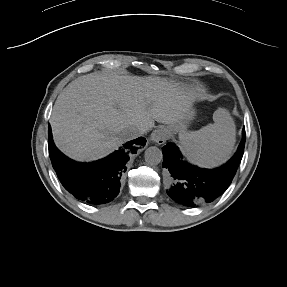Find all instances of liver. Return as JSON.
I'll return each mask as SVG.
<instances>
[{"label":"liver","mask_w":287,"mask_h":287,"mask_svg":"<svg viewBox=\"0 0 287 287\" xmlns=\"http://www.w3.org/2000/svg\"><path fill=\"white\" fill-rule=\"evenodd\" d=\"M195 93L159 78L93 72L78 77L58 95L50 119L56 146L77 161H93L127 141L123 130L155 121L183 120Z\"/></svg>","instance_id":"obj_1"}]
</instances>
